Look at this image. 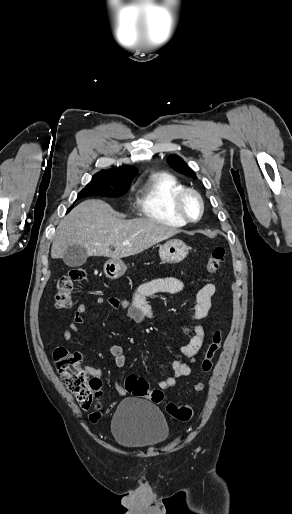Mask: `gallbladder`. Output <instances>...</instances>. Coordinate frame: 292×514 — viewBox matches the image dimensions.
<instances>
[{
  "mask_svg": "<svg viewBox=\"0 0 292 514\" xmlns=\"http://www.w3.org/2000/svg\"><path fill=\"white\" fill-rule=\"evenodd\" d=\"M62 260L65 262L66 266H70V268H78V266H82V264L87 262L88 254L84 246L73 244V246H68V248L64 250Z\"/></svg>",
  "mask_w": 292,
  "mask_h": 514,
  "instance_id": "bac80fb5",
  "label": "gallbladder"
}]
</instances>
